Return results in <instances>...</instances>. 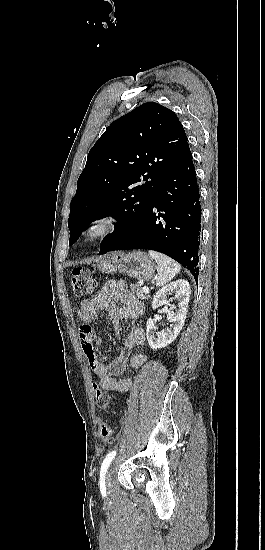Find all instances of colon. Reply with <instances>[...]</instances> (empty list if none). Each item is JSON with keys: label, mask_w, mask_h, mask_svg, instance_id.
Instances as JSON below:
<instances>
[{"label": "colon", "mask_w": 265, "mask_h": 550, "mask_svg": "<svg viewBox=\"0 0 265 550\" xmlns=\"http://www.w3.org/2000/svg\"><path fill=\"white\" fill-rule=\"evenodd\" d=\"M69 283L71 292L76 297L92 294L97 288L96 279L88 270L82 268H75L70 272ZM94 396L100 409L106 410L109 407L111 403L109 394L95 387ZM97 427L99 437L105 442H110L113 438V432L108 423L104 420H98Z\"/></svg>", "instance_id": "colon-1"}]
</instances>
